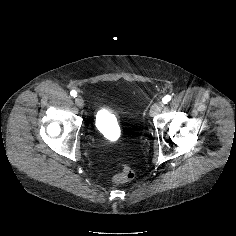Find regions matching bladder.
Segmentation results:
<instances>
[{"mask_svg":"<svg viewBox=\"0 0 236 236\" xmlns=\"http://www.w3.org/2000/svg\"><path fill=\"white\" fill-rule=\"evenodd\" d=\"M95 128L104 137L112 138L118 132V121L108 108H101L95 116Z\"/></svg>","mask_w":236,"mask_h":236,"instance_id":"1","label":"bladder"}]
</instances>
